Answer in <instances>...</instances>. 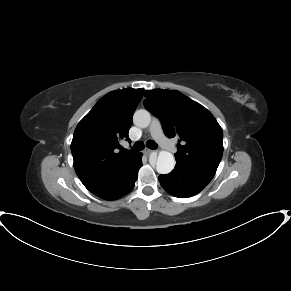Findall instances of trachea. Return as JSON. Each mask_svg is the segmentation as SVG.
I'll return each mask as SVG.
<instances>
[{
    "instance_id": "3493384b",
    "label": "trachea",
    "mask_w": 291,
    "mask_h": 291,
    "mask_svg": "<svg viewBox=\"0 0 291 291\" xmlns=\"http://www.w3.org/2000/svg\"><path fill=\"white\" fill-rule=\"evenodd\" d=\"M146 146L149 149H156L157 148V143L154 140H148ZM145 148L144 143L142 141H138L134 144L132 150L133 151H141Z\"/></svg>"
}]
</instances>
